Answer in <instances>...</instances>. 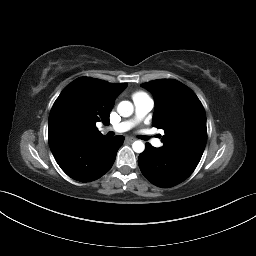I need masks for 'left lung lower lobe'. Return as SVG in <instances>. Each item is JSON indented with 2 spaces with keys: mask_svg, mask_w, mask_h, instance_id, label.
<instances>
[{
  "mask_svg": "<svg viewBox=\"0 0 256 256\" xmlns=\"http://www.w3.org/2000/svg\"><path fill=\"white\" fill-rule=\"evenodd\" d=\"M138 163L146 179L162 188H169L183 182L196 168L149 143H146L144 152L139 155Z\"/></svg>",
  "mask_w": 256,
  "mask_h": 256,
  "instance_id": "obj_1",
  "label": "left lung lower lobe"
}]
</instances>
